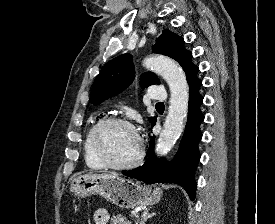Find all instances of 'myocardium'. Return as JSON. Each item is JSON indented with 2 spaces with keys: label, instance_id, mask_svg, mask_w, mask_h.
Wrapping results in <instances>:
<instances>
[{
  "label": "myocardium",
  "instance_id": "1",
  "mask_svg": "<svg viewBox=\"0 0 275 224\" xmlns=\"http://www.w3.org/2000/svg\"><path fill=\"white\" fill-rule=\"evenodd\" d=\"M114 125H124L131 128L138 139V152L134 159L126 163L113 162L105 151L102 139L105 131ZM91 146L96 157L104 164L105 167L115 170H127L138 166L144 158L143 141L136 127L127 119L119 116H111L101 120L94 128L91 135Z\"/></svg>",
  "mask_w": 275,
  "mask_h": 224
}]
</instances>
